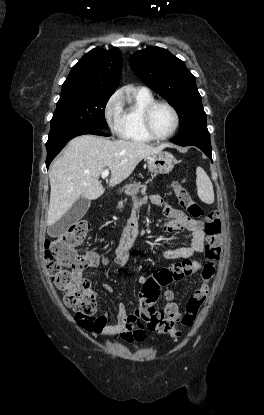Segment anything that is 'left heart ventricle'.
Instances as JSON below:
<instances>
[{
	"mask_svg": "<svg viewBox=\"0 0 264 415\" xmlns=\"http://www.w3.org/2000/svg\"><path fill=\"white\" fill-rule=\"evenodd\" d=\"M151 123L156 134L166 135L174 126V117L167 107L158 106L152 113Z\"/></svg>",
	"mask_w": 264,
	"mask_h": 415,
	"instance_id": "1",
	"label": "left heart ventricle"
}]
</instances>
